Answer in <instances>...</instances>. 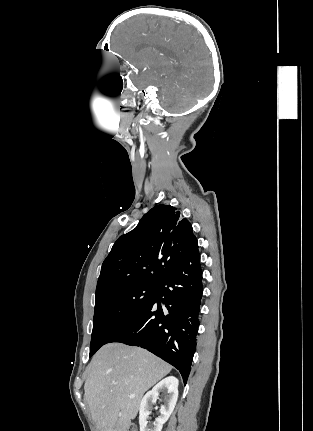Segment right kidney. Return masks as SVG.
Listing matches in <instances>:
<instances>
[{
  "label": "right kidney",
  "instance_id": "right-kidney-1",
  "mask_svg": "<svg viewBox=\"0 0 313 431\" xmlns=\"http://www.w3.org/2000/svg\"><path fill=\"white\" fill-rule=\"evenodd\" d=\"M178 379L169 376L156 384L153 389L145 394L139 408L140 431H161L163 424L169 419L178 399ZM164 391V405L160 408V416L154 426H148V417L151 414V406L156 403L159 392Z\"/></svg>",
  "mask_w": 313,
  "mask_h": 431
}]
</instances>
